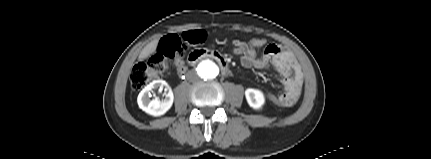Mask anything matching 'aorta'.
<instances>
[{"instance_id": "aorta-1", "label": "aorta", "mask_w": 431, "mask_h": 159, "mask_svg": "<svg viewBox=\"0 0 431 159\" xmlns=\"http://www.w3.org/2000/svg\"><path fill=\"white\" fill-rule=\"evenodd\" d=\"M197 74L201 79L211 81L219 75V67L211 60H204L198 65Z\"/></svg>"}]
</instances>
